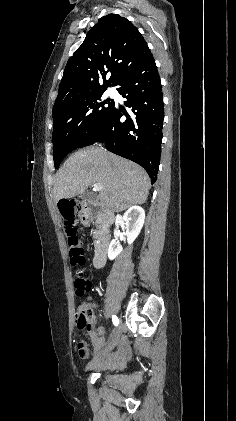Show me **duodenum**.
<instances>
[{
	"instance_id": "obj_1",
	"label": "duodenum",
	"mask_w": 236,
	"mask_h": 421,
	"mask_svg": "<svg viewBox=\"0 0 236 421\" xmlns=\"http://www.w3.org/2000/svg\"><path fill=\"white\" fill-rule=\"evenodd\" d=\"M83 225L87 226L95 218L101 220L104 227H109L114 222V215L106 209H102L94 200H79L73 204ZM110 235L104 232L98 239L94 250L93 265L101 268L105 265L109 249ZM100 341V338L97 339ZM119 349L115 356L107 355L95 363L96 367L109 368L120 366L128 357V346L118 342Z\"/></svg>"
}]
</instances>
